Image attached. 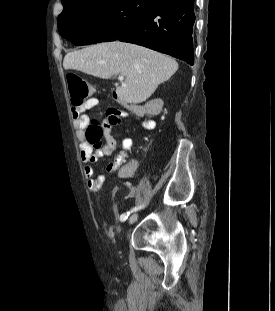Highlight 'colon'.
I'll use <instances>...</instances> for the list:
<instances>
[{
  "label": "colon",
  "instance_id": "colon-1",
  "mask_svg": "<svg viewBox=\"0 0 275 311\" xmlns=\"http://www.w3.org/2000/svg\"><path fill=\"white\" fill-rule=\"evenodd\" d=\"M67 82L71 93V104L73 107H78L82 104H98V97H92L93 89L92 86L83 80L80 76L76 74H69L67 76ZM106 121L111 125H116L120 123V116L113 110H107ZM105 130L103 127L91 121L86 130L87 138L97 144L101 148L104 144L103 137Z\"/></svg>",
  "mask_w": 275,
  "mask_h": 311
}]
</instances>
